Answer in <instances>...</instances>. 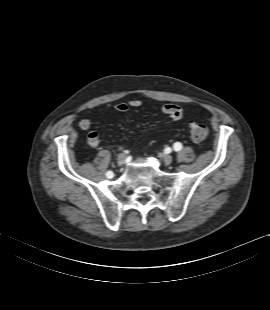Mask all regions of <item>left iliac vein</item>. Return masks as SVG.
<instances>
[{"instance_id": "1", "label": "left iliac vein", "mask_w": 270, "mask_h": 310, "mask_svg": "<svg viewBox=\"0 0 270 310\" xmlns=\"http://www.w3.org/2000/svg\"><path fill=\"white\" fill-rule=\"evenodd\" d=\"M164 163L166 164V165H169V164H171V162H172V156L171 155H165L164 156Z\"/></svg>"}]
</instances>
